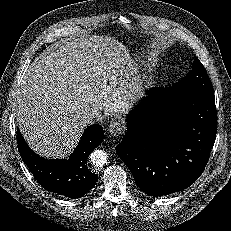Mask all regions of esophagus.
<instances>
[{
	"label": "esophagus",
	"mask_w": 231,
	"mask_h": 231,
	"mask_svg": "<svg viewBox=\"0 0 231 231\" xmlns=\"http://www.w3.org/2000/svg\"><path fill=\"white\" fill-rule=\"evenodd\" d=\"M124 129H125L124 124L120 120H115L109 124L107 131L112 136H119L124 133Z\"/></svg>",
	"instance_id": "obj_1"
}]
</instances>
